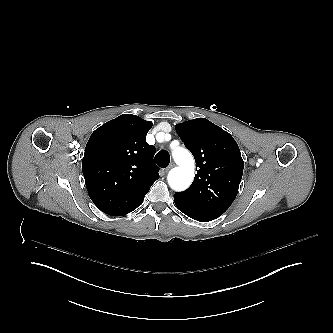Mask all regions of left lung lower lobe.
<instances>
[{
	"label": "left lung lower lobe",
	"mask_w": 333,
	"mask_h": 333,
	"mask_svg": "<svg viewBox=\"0 0 333 333\" xmlns=\"http://www.w3.org/2000/svg\"><path fill=\"white\" fill-rule=\"evenodd\" d=\"M174 202L181 212L200 222L212 221L225 212L224 210L207 208L194 204L177 196L176 194H174Z\"/></svg>",
	"instance_id": "obj_1"
}]
</instances>
